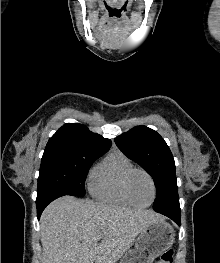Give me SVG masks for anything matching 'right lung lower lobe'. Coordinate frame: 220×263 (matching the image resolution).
I'll return each instance as SVG.
<instances>
[{"instance_id":"right-lung-lower-lobe-1","label":"right lung lower lobe","mask_w":220,"mask_h":263,"mask_svg":"<svg viewBox=\"0 0 220 263\" xmlns=\"http://www.w3.org/2000/svg\"><path fill=\"white\" fill-rule=\"evenodd\" d=\"M64 196V194H54L44 200L41 201H36V205H37V216L38 219H40L41 213L44 210V208L53 200H55L58 197Z\"/></svg>"}]
</instances>
